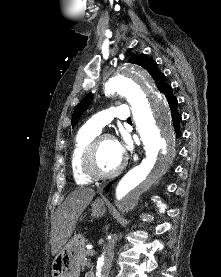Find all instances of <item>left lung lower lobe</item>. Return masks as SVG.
<instances>
[{"label": "left lung lower lobe", "mask_w": 221, "mask_h": 277, "mask_svg": "<svg viewBox=\"0 0 221 277\" xmlns=\"http://www.w3.org/2000/svg\"><path fill=\"white\" fill-rule=\"evenodd\" d=\"M163 94L165 95V97L168 101L169 107L171 109L172 120H173V124H174V128H175V132L177 134V137H179L181 134L180 130H179V123L181 121V116L179 115V113L177 111L178 101L174 97V95L172 93V87L170 85L165 89ZM106 190H109V186H107Z\"/></svg>", "instance_id": "obj_1"}]
</instances>
